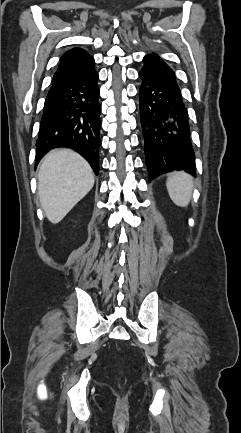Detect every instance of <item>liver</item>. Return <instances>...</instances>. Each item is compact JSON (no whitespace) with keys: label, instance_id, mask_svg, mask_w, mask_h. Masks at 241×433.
Masks as SVG:
<instances>
[{"label":"liver","instance_id":"1","mask_svg":"<svg viewBox=\"0 0 241 433\" xmlns=\"http://www.w3.org/2000/svg\"><path fill=\"white\" fill-rule=\"evenodd\" d=\"M88 162L70 149H54L38 170V194L47 219L59 223L94 185Z\"/></svg>","mask_w":241,"mask_h":433}]
</instances>
